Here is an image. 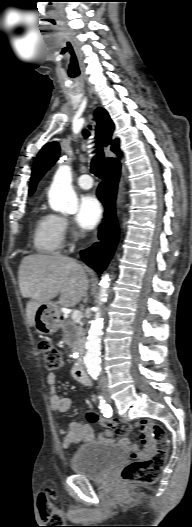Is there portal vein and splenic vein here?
I'll list each match as a JSON object with an SVG mask.
<instances>
[{
    "label": "portal vein and splenic vein",
    "mask_w": 192,
    "mask_h": 527,
    "mask_svg": "<svg viewBox=\"0 0 192 527\" xmlns=\"http://www.w3.org/2000/svg\"><path fill=\"white\" fill-rule=\"evenodd\" d=\"M81 318H82V314H81L80 311H78V310L73 311V313H72V320L75 323H79L81 321Z\"/></svg>",
    "instance_id": "18ae733b"
}]
</instances>
